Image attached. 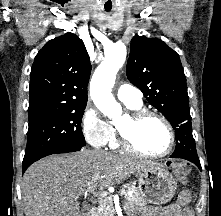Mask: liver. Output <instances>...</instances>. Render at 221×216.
Masks as SVG:
<instances>
[{
    "instance_id": "liver-1",
    "label": "liver",
    "mask_w": 221,
    "mask_h": 216,
    "mask_svg": "<svg viewBox=\"0 0 221 216\" xmlns=\"http://www.w3.org/2000/svg\"><path fill=\"white\" fill-rule=\"evenodd\" d=\"M150 161L82 149L45 157L25 172L21 185L26 216H81L78 199L88 189L121 183Z\"/></svg>"
}]
</instances>
